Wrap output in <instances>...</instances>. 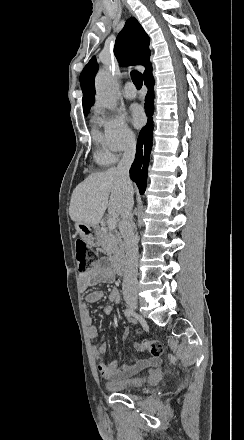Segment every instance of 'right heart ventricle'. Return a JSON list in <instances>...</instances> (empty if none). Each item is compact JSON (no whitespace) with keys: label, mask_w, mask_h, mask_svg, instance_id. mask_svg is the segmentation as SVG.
Here are the masks:
<instances>
[{"label":"right heart ventricle","mask_w":244,"mask_h":440,"mask_svg":"<svg viewBox=\"0 0 244 440\" xmlns=\"http://www.w3.org/2000/svg\"><path fill=\"white\" fill-rule=\"evenodd\" d=\"M95 122V119H93L92 137L93 141L99 146L96 158L99 162L104 164L112 163L116 160V158L111 152L106 149L104 144V135L98 130Z\"/></svg>","instance_id":"obj_1"}]
</instances>
